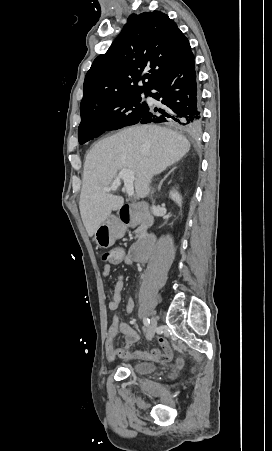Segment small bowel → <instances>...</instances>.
<instances>
[{
    "mask_svg": "<svg viewBox=\"0 0 272 451\" xmlns=\"http://www.w3.org/2000/svg\"><path fill=\"white\" fill-rule=\"evenodd\" d=\"M110 274H111V264L106 263L103 266L102 275L104 277H109ZM123 288H124V275L119 274L116 283L114 285V290L110 294L109 300L110 310L116 311L119 308L121 302V291L123 290ZM133 309H134V301L132 298H129L124 307V310L126 313H132ZM118 335H121L123 337V346L114 347L111 343L107 345L106 356L109 362L114 361L117 357L125 360L131 358H139L144 360L163 362L159 360L160 352H172L174 356V351L172 349L169 340L163 337L159 338L158 340L159 348H154L149 351H137L133 353L128 351V347L132 346L133 344L139 341V335L134 328H132L130 325L124 322H121L119 318L116 315H114L112 324L108 329V338L109 340H112Z\"/></svg>",
    "mask_w": 272,
    "mask_h": 451,
    "instance_id": "obj_1",
    "label": "small bowel"
}]
</instances>
